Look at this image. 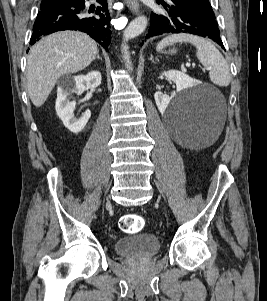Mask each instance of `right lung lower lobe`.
<instances>
[{
    "label": "right lung lower lobe",
    "mask_w": 267,
    "mask_h": 301,
    "mask_svg": "<svg viewBox=\"0 0 267 301\" xmlns=\"http://www.w3.org/2000/svg\"><path fill=\"white\" fill-rule=\"evenodd\" d=\"M100 6L88 7L85 0H62L42 8L33 26L31 45L41 36L61 30L87 33L106 51L110 43V14L107 0H97Z\"/></svg>",
    "instance_id": "right-lung-lower-lobe-1"
}]
</instances>
